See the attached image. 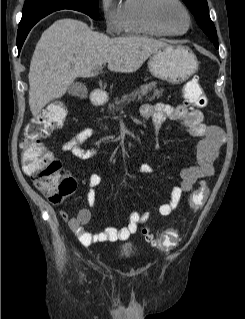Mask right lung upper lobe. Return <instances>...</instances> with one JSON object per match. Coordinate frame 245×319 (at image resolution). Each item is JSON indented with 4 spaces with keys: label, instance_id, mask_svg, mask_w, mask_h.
Instances as JSON below:
<instances>
[{
    "label": "right lung upper lobe",
    "instance_id": "obj_1",
    "mask_svg": "<svg viewBox=\"0 0 245 319\" xmlns=\"http://www.w3.org/2000/svg\"><path fill=\"white\" fill-rule=\"evenodd\" d=\"M54 12V11H52ZM52 12H49L52 13ZM48 13V12H47ZM47 13H38L37 15L34 16V18L28 23V25L34 23V22H37L39 21L41 18L45 17L47 15ZM24 28V27H23Z\"/></svg>",
    "mask_w": 245,
    "mask_h": 319
}]
</instances>
